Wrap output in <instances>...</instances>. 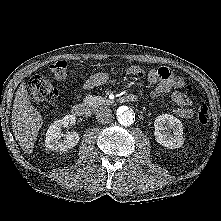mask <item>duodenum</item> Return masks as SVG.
<instances>
[{
  "mask_svg": "<svg viewBox=\"0 0 221 221\" xmlns=\"http://www.w3.org/2000/svg\"><path fill=\"white\" fill-rule=\"evenodd\" d=\"M122 100L127 101V102H136L138 100V97L135 94H129V95L123 96ZM72 111L74 115L78 117L86 118L91 115L92 107H91V104L82 103V104L75 105Z\"/></svg>",
  "mask_w": 221,
  "mask_h": 221,
  "instance_id": "duodenum-1",
  "label": "duodenum"
}]
</instances>
